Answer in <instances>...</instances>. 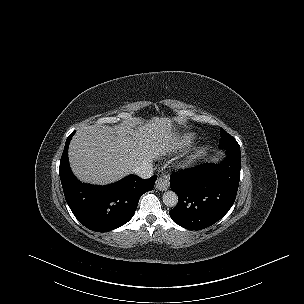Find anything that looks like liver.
<instances>
[{
  "label": "liver",
  "instance_id": "6515ba94",
  "mask_svg": "<svg viewBox=\"0 0 304 304\" xmlns=\"http://www.w3.org/2000/svg\"><path fill=\"white\" fill-rule=\"evenodd\" d=\"M168 118L149 122L133 119L111 128L91 125L80 129L69 146V162L83 182L97 185L113 183L143 162L165 155L173 143Z\"/></svg>",
  "mask_w": 304,
  "mask_h": 304
}]
</instances>
